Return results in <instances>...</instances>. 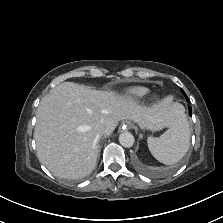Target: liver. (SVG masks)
<instances>
[{"label":"liver","mask_w":223,"mask_h":223,"mask_svg":"<svg viewBox=\"0 0 223 223\" xmlns=\"http://www.w3.org/2000/svg\"><path fill=\"white\" fill-rule=\"evenodd\" d=\"M179 110L184 111L183 106L170 98L143 107L129 96L63 82L43 97L37 108V157L54 176L78 179L96 165L101 137L95 131L96 125H104L103 135L107 136L124 119L159 131L171 125Z\"/></svg>","instance_id":"1"}]
</instances>
